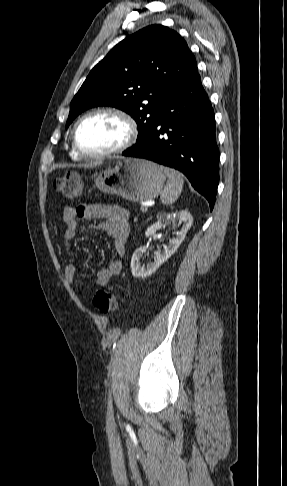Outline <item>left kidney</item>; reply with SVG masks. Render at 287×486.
Wrapping results in <instances>:
<instances>
[{
    "label": "left kidney",
    "instance_id": "5707ae66",
    "mask_svg": "<svg viewBox=\"0 0 287 486\" xmlns=\"http://www.w3.org/2000/svg\"><path fill=\"white\" fill-rule=\"evenodd\" d=\"M179 221L182 223V228L180 231L176 232V237L169 240L168 246L164 247L162 251H156L154 256V261L148 263L146 266H141L140 259L145 251L144 247L136 249L131 259V271L132 275L136 278H146L154 273L159 266L167 261L172 254H174L180 244L185 239L187 231L191 228L193 223V217L187 210L177 211L175 213H158L157 222L150 225L146 232V238L151 237L156 233L157 230L164 228L171 222Z\"/></svg>",
    "mask_w": 287,
    "mask_h": 486
}]
</instances>
